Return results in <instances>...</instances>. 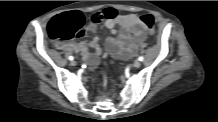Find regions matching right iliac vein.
Instances as JSON below:
<instances>
[{
  "label": "right iliac vein",
  "instance_id": "1",
  "mask_svg": "<svg viewBox=\"0 0 218 122\" xmlns=\"http://www.w3.org/2000/svg\"><path fill=\"white\" fill-rule=\"evenodd\" d=\"M70 64H71L72 66H76L77 63H76V61L72 60Z\"/></svg>",
  "mask_w": 218,
  "mask_h": 122
}]
</instances>
